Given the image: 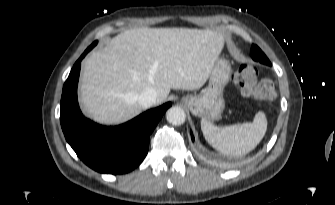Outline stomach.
I'll use <instances>...</instances> for the list:
<instances>
[{"label": "stomach", "mask_w": 335, "mask_h": 205, "mask_svg": "<svg viewBox=\"0 0 335 205\" xmlns=\"http://www.w3.org/2000/svg\"><path fill=\"white\" fill-rule=\"evenodd\" d=\"M232 69L225 58H218L211 69L209 83L197 95H187L182 98L183 104L188 107L191 113L214 121L221 117L225 107L223 93L231 78Z\"/></svg>", "instance_id": "1"}]
</instances>
